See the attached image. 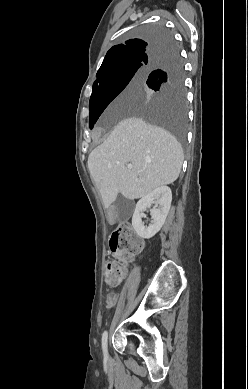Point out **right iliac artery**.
I'll list each match as a JSON object with an SVG mask.
<instances>
[{
	"mask_svg": "<svg viewBox=\"0 0 248 389\" xmlns=\"http://www.w3.org/2000/svg\"><path fill=\"white\" fill-rule=\"evenodd\" d=\"M107 338H108V333L107 331H104L102 335V348H103V353H104V360L107 361Z\"/></svg>",
	"mask_w": 248,
	"mask_h": 389,
	"instance_id": "1",
	"label": "right iliac artery"
}]
</instances>
